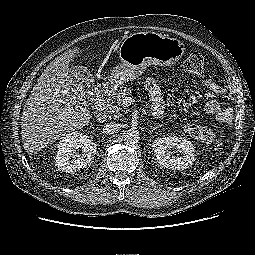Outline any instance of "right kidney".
<instances>
[{
	"label": "right kidney",
	"mask_w": 255,
	"mask_h": 255,
	"mask_svg": "<svg viewBox=\"0 0 255 255\" xmlns=\"http://www.w3.org/2000/svg\"><path fill=\"white\" fill-rule=\"evenodd\" d=\"M78 148L82 150L81 155L74 154ZM57 149L55 165L62 172L68 173L85 168L97 152L96 145L90 141L89 137L79 132H71L62 137Z\"/></svg>",
	"instance_id": "obj_1"
}]
</instances>
